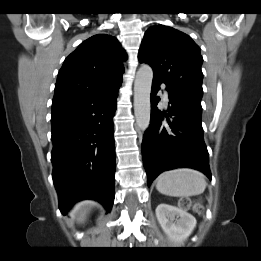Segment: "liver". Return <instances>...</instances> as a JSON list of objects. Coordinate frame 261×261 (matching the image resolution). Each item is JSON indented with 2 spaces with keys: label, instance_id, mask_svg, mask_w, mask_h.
Here are the masks:
<instances>
[{
  "label": "liver",
  "instance_id": "6515ba94",
  "mask_svg": "<svg viewBox=\"0 0 261 261\" xmlns=\"http://www.w3.org/2000/svg\"><path fill=\"white\" fill-rule=\"evenodd\" d=\"M92 206L93 203L91 201H83L78 203L72 211V217L77 223L83 224L86 221L87 213Z\"/></svg>",
  "mask_w": 261,
  "mask_h": 261
}]
</instances>
